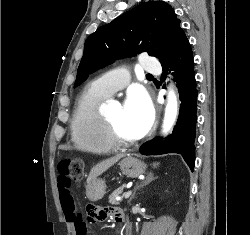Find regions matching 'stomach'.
Masks as SVG:
<instances>
[{
    "instance_id": "0dacf381",
    "label": "stomach",
    "mask_w": 250,
    "mask_h": 235,
    "mask_svg": "<svg viewBox=\"0 0 250 235\" xmlns=\"http://www.w3.org/2000/svg\"><path fill=\"white\" fill-rule=\"evenodd\" d=\"M120 169L124 175L129 178H136L143 174L146 170V165L137 158L128 156L123 158L120 163ZM106 192V184L101 179H94L86 190L87 197L91 201H98L103 198Z\"/></svg>"
}]
</instances>
